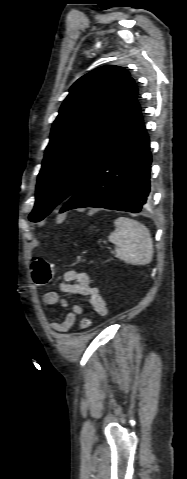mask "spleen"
Masks as SVG:
<instances>
[{
	"instance_id": "1",
	"label": "spleen",
	"mask_w": 187,
	"mask_h": 479,
	"mask_svg": "<svg viewBox=\"0 0 187 479\" xmlns=\"http://www.w3.org/2000/svg\"><path fill=\"white\" fill-rule=\"evenodd\" d=\"M115 230L108 239L116 245V257L127 264L144 266L152 261L153 241L148 228L130 218L114 220Z\"/></svg>"
}]
</instances>
